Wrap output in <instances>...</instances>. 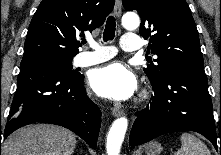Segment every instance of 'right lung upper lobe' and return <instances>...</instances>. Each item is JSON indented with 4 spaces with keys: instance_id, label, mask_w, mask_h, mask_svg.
Listing matches in <instances>:
<instances>
[{
    "instance_id": "right-lung-upper-lobe-1",
    "label": "right lung upper lobe",
    "mask_w": 221,
    "mask_h": 155,
    "mask_svg": "<svg viewBox=\"0 0 221 155\" xmlns=\"http://www.w3.org/2000/svg\"><path fill=\"white\" fill-rule=\"evenodd\" d=\"M115 0H43L29 25L24 56L74 57L85 31L101 26Z\"/></svg>"
}]
</instances>
